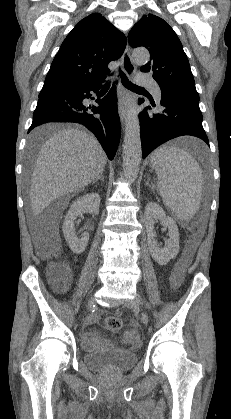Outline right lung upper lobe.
<instances>
[{
  "instance_id": "cb5924a9",
  "label": "right lung upper lobe",
  "mask_w": 231,
  "mask_h": 419,
  "mask_svg": "<svg viewBox=\"0 0 231 419\" xmlns=\"http://www.w3.org/2000/svg\"><path fill=\"white\" fill-rule=\"evenodd\" d=\"M125 46L124 34L101 14L93 13L82 19L65 38L43 87L75 88L103 82L110 73L108 63L118 59Z\"/></svg>"
}]
</instances>
